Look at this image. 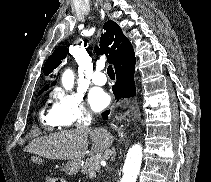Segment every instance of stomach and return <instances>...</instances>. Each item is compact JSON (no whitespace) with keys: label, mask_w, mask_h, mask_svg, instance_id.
Segmentation results:
<instances>
[{"label":"stomach","mask_w":211,"mask_h":182,"mask_svg":"<svg viewBox=\"0 0 211 182\" xmlns=\"http://www.w3.org/2000/svg\"><path fill=\"white\" fill-rule=\"evenodd\" d=\"M80 169V160H70L68 161L64 167L63 171L66 173V175H75Z\"/></svg>","instance_id":"obj_1"}]
</instances>
